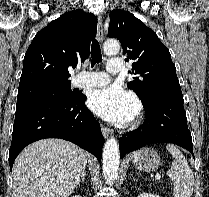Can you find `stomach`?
Listing matches in <instances>:
<instances>
[{
	"mask_svg": "<svg viewBox=\"0 0 209 197\" xmlns=\"http://www.w3.org/2000/svg\"><path fill=\"white\" fill-rule=\"evenodd\" d=\"M137 153L138 155L134 156L133 160V163L137 169L146 172H153L159 167L160 158L157 152L153 149L144 148Z\"/></svg>",
	"mask_w": 209,
	"mask_h": 197,
	"instance_id": "stomach-1",
	"label": "stomach"
}]
</instances>
